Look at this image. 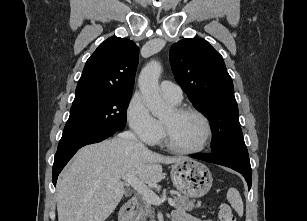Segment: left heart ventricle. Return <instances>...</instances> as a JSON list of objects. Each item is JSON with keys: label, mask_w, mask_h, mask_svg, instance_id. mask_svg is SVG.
Returning a JSON list of instances; mask_svg holds the SVG:
<instances>
[{"label": "left heart ventricle", "mask_w": 307, "mask_h": 221, "mask_svg": "<svg viewBox=\"0 0 307 221\" xmlns=\"http://www.w3.org/2000/svg\"><path fill=\"white\" fill-rule=\"evenodd\" d=\"M162 121L169 128L172 142L180 148H196L204 139L205 127L196 115H179L173 109L162 118Z\"/></svg>", "instance_id": "b2bd125f"}]
</instances>
